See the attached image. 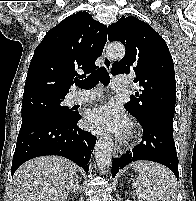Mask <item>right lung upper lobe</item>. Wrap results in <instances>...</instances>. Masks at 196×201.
Here are the masks:
<instances>
[{
  "label": "right lung upper lobe",
  "instance_id": "obj_1",
  "mask_svg": "<svg viewBox=\"0 0 196 201\" xmlns=\"http://www.w3.org/2000/svg\"><path fill=\"white\" fill-rule=\"evenodd\" d=\"M106 41L107 26L85 11L61 21L34 51L23 98L38 94L66 96L77 76L83 78L97 68L95 60L101 56Z\"/></svg>",
  "mask_w": 196,
  "mask_h": 201
}]
</instances>
